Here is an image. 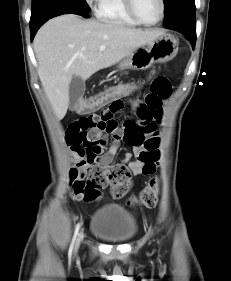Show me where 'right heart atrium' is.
I'll return each mask as SVG.
<instances>
[{"label": "right heart atrium", "instance_id": "right-heart-atrium-1", "mask_svg": "<svg viewBox=\"0 0 231 281\" xmlns=\"http://www.w3.org/2000/svg\"><path fill=\"white\" fill-rule=\"evenodd\" d=\"M85 1L89 6L93 7L98 3L99 0H85Z\"/></svg>", "mask_w": 231, "mask_h": 281}]
</instances>
